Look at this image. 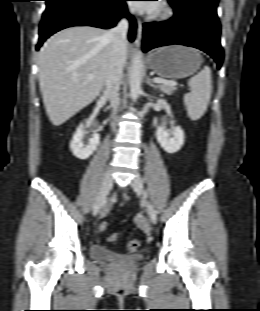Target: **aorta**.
I'll return each instance as SVG.
<instances>
[{"label": "aorta", "mask_w": 260, "mask_h": 311, "mask_svg": "<svg viewBox=\"0 0 260 311\" xmlns=\"http://www.w3.org/2000/svg\"><path fill=\"white\" fill-rule=\"evenodd\" d=\"M144 74V65L140 54H136L130 70H129V85L130 96L133 101H136L141 92V81Z\"/></svg>", "instance_id": "1"}]
</instances>
